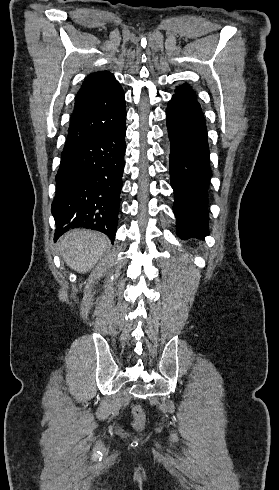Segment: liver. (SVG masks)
<instances>
[{"label":"liver","instance_id":"liver-1","mask_svg":"<svg viewBox=\"0 0 279 490\" xmlns=\"http://www.w3.org/2000/svg\"><path fill=\"white\" fill-rule=\"evenodd\" d=\"M109 240L105 234L90 230H70L59 240L60 256L71 270L86 274L102 260Z\"/></svg>","mask_w":279,"mask_h":490}]
</instances>
